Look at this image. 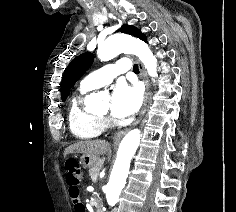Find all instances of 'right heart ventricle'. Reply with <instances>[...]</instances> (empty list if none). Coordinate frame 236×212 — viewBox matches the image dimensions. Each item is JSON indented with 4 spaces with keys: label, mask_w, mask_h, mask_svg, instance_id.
Listing matches in <instances>:
<instances>
[{
    "label": "right heart ventricle",
    "mask_w": 236,
    "mask_h": 212,
    "mask_svg": "<svg viewBox=\"0 0 236 212\" xmlns=\"http://www.w3.org/2000/svg\"><path fill=\"white\" fill-rule=\"evenodd\" d=\"M93 89L80 84L69 106V125L71 132L80 139H92L106 130L103 117L89 112L83 105L85 96Z\"/></svg>",
    "instance_id": "right-heart-ventricle-1"
}]
</instances>
